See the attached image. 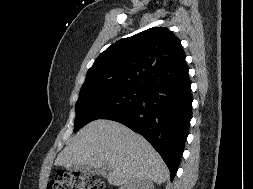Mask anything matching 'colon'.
<instances>
[{
  "label": "colon",
  "instance_id": "1",
  "mask_svg": "<svg viewBox=\"0 0 253 189\" xmlns=\"http://www.w3.org/2000/svg\"><path fill=\"white\" fill-rule=\"evenodd\" d=\"M47 189H105V184L81 172L59 170L49 181Z\"/></svg>",
  "mask_w": 253,
  "mask_h": 189
}]
</instances>
